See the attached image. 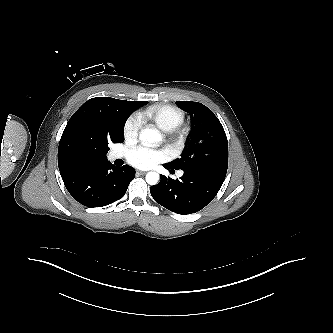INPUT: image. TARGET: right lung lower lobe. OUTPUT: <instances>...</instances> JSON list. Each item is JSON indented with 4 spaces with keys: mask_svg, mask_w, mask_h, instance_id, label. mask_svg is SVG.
<instances>
[{
    "mask_svg": "<svg viewBox=\"0 0 333 333\" xmlns=\"http://www.w3.org/2000/svg\"><path fill=\"white\" fill-rule=\"evenodd\" d=\"M68 192L87 207H103L121 199L135 177L131 166L115 167L106 159L76 163L61 174Z\"/></svg>",
    "mask_w": 333,
    "mask_h": 333,
    "instance_id": "obj_1",
    "label": "right lung lower lobe"
}]
</instances>
